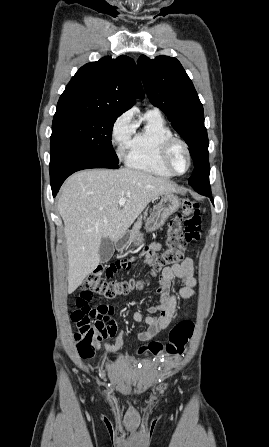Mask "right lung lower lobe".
Masks as SVG:
<instances>
[{"mask_svg": "<svg viewBox=\"0 0 269 447\" xmlns=\"http://www.w3.org/2000/svg\"><path fill=\"white\" fill-rule=\"evenodd\" d=\"M88 168H119L114 163L91 154L72 151L63 147L51 149L50 180L53 197H55L64 180L75 171Z\"/></svg>", "mask_w": 269, "mask_h": 447, "instance_id": "right-lung-lower-lobe-1", "label": "right lung lower lobe"}]
</instances>
